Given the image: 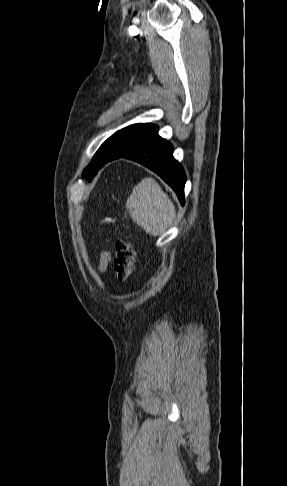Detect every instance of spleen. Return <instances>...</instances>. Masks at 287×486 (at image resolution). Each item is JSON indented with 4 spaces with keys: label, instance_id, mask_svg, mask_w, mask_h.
<instances>
[{
    "label": "spleen",
    "instance_id": "1",
    "mask_svg": "<svg viewBox=\"0 0 287 486\" xmlns=\"http://www.w3.org/2000/svg\"><path fill=\"white\" fill-rule=\"evenodd\" d=\"M132 220L151 236H160L176 217L169 196L153 178H144L133 189L126 201Z\"/></svg>",
    "mask_w": 287,
    "mask_h": 486
}]
</instances>
